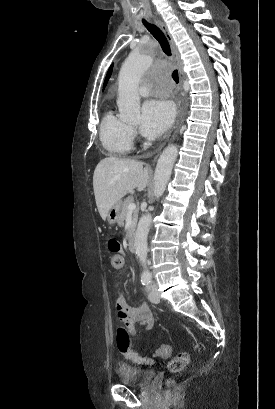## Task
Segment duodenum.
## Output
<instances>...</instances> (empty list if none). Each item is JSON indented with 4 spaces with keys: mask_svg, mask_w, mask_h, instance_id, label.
I'll return each instance as SVG.
<instances>
[{
    "mask_svg": "<svg viewBox=\"0 0 275 409\" xmlns=\"http://www.w3.org/2000/svg\"><path fill=\"white\" fill-rule=\"evenodd\" d=\"M127 246L130 252H135L136 246H135V236L134 233H130L128 237V242Z\"/></svg>",
    "mask_w": 275,
    "mask_h": 409,
    "instance_id": "obj_1",
    "label": "duodenum"
}]
</instances>
